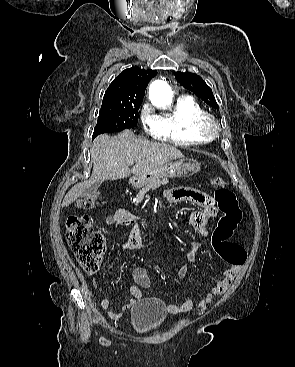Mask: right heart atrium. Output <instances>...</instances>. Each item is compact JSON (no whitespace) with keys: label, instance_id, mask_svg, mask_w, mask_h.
Instances as JSON below:
<instances>
[{"label":"right heart atrium","instance_id":"1","mask_svg":"<svg viewBox=\"0 0 295 367\" xmlns=\"http://www.w3.org/2000/svg\"><path fill=\"white\" fill-rule=\"evenodd\" d=\"M140 118L144 130L150 135L157 137L160 130L159 123L153 115L152 108L148 104L143 106Z\"/></svg>","mask_w":295,"mask_h":367}]
</instances>
